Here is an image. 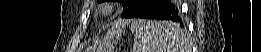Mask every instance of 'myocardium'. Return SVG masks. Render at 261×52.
Masks as SVG:
<instances>
[{"label":"myocardium","instance_id":"1","mask_svg":"<svg viewBox=\"0 0 261 52\" xmlns=\"http://www.w3.org/2000/svg\"><path fill=\"white\" fill-rule=\"evenodd\" d=\"M112 12L113 6L109 4L103 5L98 9V14L103 16L110 15Z\"/></svg>","mask_w":261,"mask_h":52}]
</instances>
